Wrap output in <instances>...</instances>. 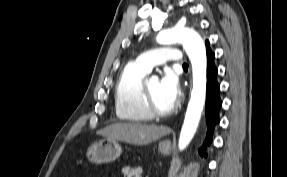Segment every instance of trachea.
Listing matches in <instances>:
<instances>
[{"label":"trachea","instance_id":"3493384b","mask_svg":"<svg viewBox=\"0 0 287 177\" xmlns=\"http://www.w3.org/2000/svg\"><path fill=\"white\" fill-rule=\"evenodd\" d=\"M183 66H184V67H188V65H187V64H183Z\"/></svg>","mask_w":287,"mask_h":177}]
</instances>
